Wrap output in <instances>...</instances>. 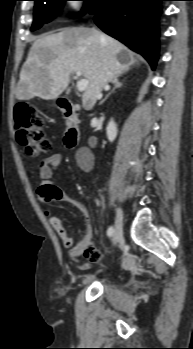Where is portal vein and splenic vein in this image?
<instances>
[{
    "label": "portal vein and splenic vein",
    "mask_w": 193,
    "mask_h": 349,
    "mask_svg": "<svg viewBox=\"0 0 193 349\" xmlns=\"http://www.w3.org/2000/svg\"><path fill=\"white\" fill-rule=\"evenodd\" d=\"M76 76L79 78V80L77 81L78 91L82 92V91L86 90V88L89 85V81L85 78H82L81 72H76Z\"/></svg>",
    "instance_id": "1"
}]
</instances>
